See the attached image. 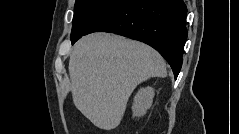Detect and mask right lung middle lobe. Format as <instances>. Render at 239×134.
Returning <instances> with one entry per match:
<instances>
[{
  "label": "right lung middle lobe",
  "instance_id": "obj_1",
  "mask_svg": "<svg viewBox=\"0 0 239 134\" xmlns=\"http://www.w3.org/2000/svg\"><path fill=\"white\" fill-rule=\"evenodd\" d=\"M119 0H76L71 41L80 38L89 26Z\"/></svg>",
  "mask_w": 239,
  "mask_h": 134
}]
</instances>
